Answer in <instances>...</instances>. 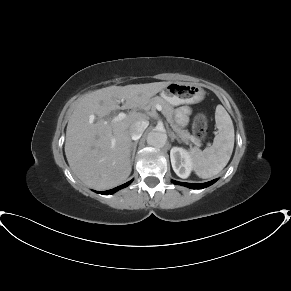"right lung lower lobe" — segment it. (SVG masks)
<instances>
[{"label":"right lung lower lobe","mask_w":291,"mask_h":291,"mask_svg":"<svg viewBox=\"0 0 291 291\" xmlns=\"http://www.w3.org/2000/svg\"><path fill=\"white\" fill-rule=\"evenodd\" d=\"M131 182H132V181H129V182H127V183H125V184H123V185H121V186H118V187L114 188V189H111V190H108V191H103V192H98V193H100V194H105V195H107V194H112V193L118 191L119 189H122V188L128 186Z\"/></svg>","instance_id":"right-lung-lower-lobe-1"}]
</instances>
